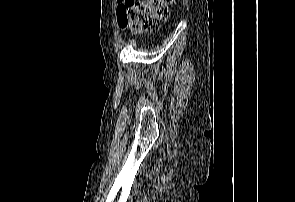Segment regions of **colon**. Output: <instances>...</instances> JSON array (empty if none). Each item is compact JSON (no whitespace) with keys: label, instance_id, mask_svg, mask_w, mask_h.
<instances>
[{"label":"colon","instance_id":"obj_1","mask_svg":"<svg viewBox=\"0 0 295 202\" xmlns=\"http://www.w3.org/2000/svg\"><path fill=\"white\" fill-rule=\"evenodd\" d=\"M175 0H126L120 10V24L135 35L155 32L169 17V8Z\"/></svg>","mask_w":295,"mask_h":202}]
</instances>
